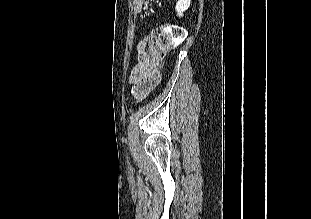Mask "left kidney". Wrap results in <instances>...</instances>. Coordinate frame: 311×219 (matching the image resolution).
Here are the masks:
<instances>
[{
  "label": "left kidney",
  "instance_id": "1",
  "mask_svg": "<svg viewBox=\"0 0 311 219\" xmlns=\"http://www.w3.org/2000/svg\"><path fill=\"white\" fill-rule=\"evenodd\" d=\"M191 0H178L176 3V12L179 17L183 16V12H185L190 7Z\"/></svg>",
  "mask_w": 311,
  "mask_h": 219
}]
</instances>
